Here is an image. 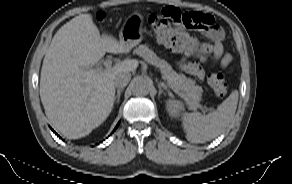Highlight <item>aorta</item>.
<instances>
[{
    "mask_svg": "<svg viewBox=\"0 0 292 184\" xmlns=\"http://www.w3.org/2000/svg\"><path fill=\"white\" fill-rule=\"evenodd\" d=\"M131 89L133 94L137 96H145L151 89V83L147 79L138 77L133 80Z\"/></svg>",
    "mask_w": 292,
    "mask_h": 184,
    "instance_id": "aorta-1",
    "label": "aorta"
}]
</instances>
